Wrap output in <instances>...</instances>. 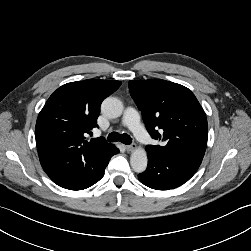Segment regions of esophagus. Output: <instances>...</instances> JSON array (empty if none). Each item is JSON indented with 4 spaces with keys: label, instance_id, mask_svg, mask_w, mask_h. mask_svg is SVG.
Masks as SVG:
<instances>
[{
    "label": "esophagus",
    "instance_id": "1",
    "mask_svg": "<svg viewBox=\"0 0 251 251\" xmlns=\"http://www.w3.org/2000/svg\"><path fill=\"white\" fill-rule=\"evenodd\" d=\"M124 147L128 152H131L135 149V145H125Z\"/></svg>",
    "mask_w": 251,
    "mask_h": 251
}]
</instances>
